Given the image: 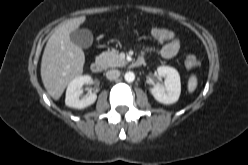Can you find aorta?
<instances>
[{"label":"aorta","mask_w":248,"mask_h":165,"mask_svg":"<svg viewBox=\"0 0 248 165\" xmlns=\"http://www.w3.org/2000/svg\"><path fill=\"white\" fill-rule=\"evenodd\" d=\"M124 78H125V80H126L127 82H133L134 79H135V75H134L133 72L129 71V72H126V73H125Z\"/></svg>","instance_id":"obj_1"}]
</instances>
